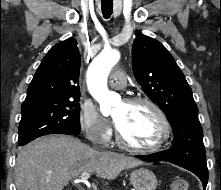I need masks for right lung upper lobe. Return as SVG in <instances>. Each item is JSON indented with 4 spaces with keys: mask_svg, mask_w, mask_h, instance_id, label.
I'll return each instance as SVG.
<instances>
[{
    "mask_svg": "<svg viewBox=\"0 0 221 190\" xmlns=\"http://www.w3.org/2000/svg\"><path fill=\"white\" fill-rule=\"evenodd\" d=\"M80 64L75 38L54 45L37 69L22 105L80 98Z\"/></svg>",
    "mask_w": 221,
    "mask_h": 190,
    "instance_id": "obj_1",
    "label": "right lung upper lobe"
}]
</instances>
